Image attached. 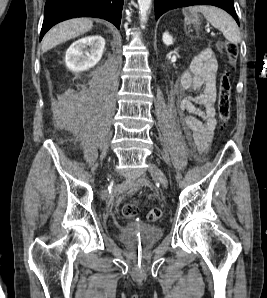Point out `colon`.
Instances as JSON below:
<instances>
[{"instance_id":"1","label":"colon","mask_w":267,"mask_h":298,"mask_svg":"<svg viewBox=\"0 0 267 298\" xmlns=\"http://www.w3.org/2000/svg\"><path fill=\"white\" fill-rule=\"evenodd\" d=\"M219 49L227 56L230 64L236 62L238 56V47L236 44L231 42H221L219 43ZM218 114L221 121L222 128H225L230 120L231 116V83L229 78V73L225 72L222 75L219 94H218ZM138 214V207L133 203H126L122 207V215L127 219L136 217ZM162 216V210L160 208L151 209L147 215L146 219L150 222L160 219Z\"/></svg>"}]
</instances>
